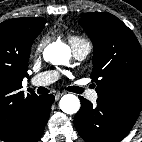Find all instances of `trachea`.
Segmentation results:
<instances>
[{"label": "trachea", "instance_id": "1", "mask_svg": "<svg viewBox=\"0 0 142 142\" xmlns=\"http://www.w3.org/2000/svg\"><path fill=\"white\" fill-rule=\"evenodd\" d=\"M70 91L81 94L84 91V89L80 88V87L73 86V87H71ZM37 93L38 94H46V93H49V90L44 87H39L37 89Z\"/></svg>", "mask_w": 142, "mask_h": 142}]
</instances>
